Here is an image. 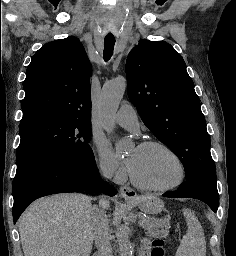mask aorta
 Here are the masks:
<instances>
[{"label": "aorta", "mask_w": 236, "mask_h": 256, "mask_svg": "<svg viewBox=\"0 0 236 256\" xmlns=\"http://www.w3.org/2000/svg\"><path fill=\"white\" fill-rule=\"evenodd\" d=\"M125 77H118L103 85L100 99V113L104 129L110 134L114 129V115L126 90ZM116 237L119 245L120 256H132V246L129 233L119 223L116 225Z\"/></svg>", "instance_id": "aorta-1"}]
</instances>
